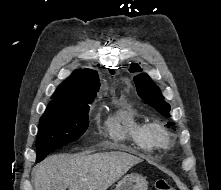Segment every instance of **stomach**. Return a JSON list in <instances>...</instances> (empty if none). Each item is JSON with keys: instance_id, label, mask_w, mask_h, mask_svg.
<instances>
[{"instance_id": "1", "label": "stomach", "mask_w": 221, "mask_h": 190, "mask_svg": "<svg viewBox=\"0 0 221 190\" xmlns=\"http://www.w3.org/2000/svg\"><path fill=\"white\" fill-rule=\"evenodd\" d=\"M148 182L139 174L126 175L114 190H147Z\"/></svg>"}]
</instances>
